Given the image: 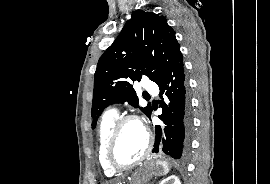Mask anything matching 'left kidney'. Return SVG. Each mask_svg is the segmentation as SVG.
<instances>
[{
  "label": "left kidney",
  "mask_w": 270,
  "mask_h": 184,
  "mask_svg": "<svg viewBox=\"0 0 270 184\" xmlns=\"http://www.w3.org/2000/svg\"><path fill=\"white\" fill-rule=\"evenodd\" d=\"M159 184H181V182L177 176L171 175L166 179H163Z\"/></svg>",
  "instance_id": "5707ae66"
}]
</instances>
